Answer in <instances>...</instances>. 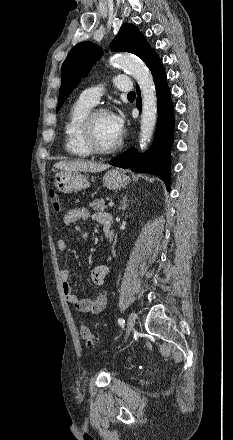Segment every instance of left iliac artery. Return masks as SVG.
Returning <instances> with one entry per match:
<instances>
[{"instance_id": "left-iliac-artery-1", "label": "left iliac artery", "mask_w": 233, "mask_h": 440, "mask_svg": "<svg viewBox=\"0 0 233 440\" xmlns=\"http://www.w3.org/2000/svg\"><path fill=\"white\" fill-rule=\"evenodd\" d=\"M118 323H119L120 326L124 327L125 320L122 319V318H119L118 319Z\"/></svg>"}]
</instances>
